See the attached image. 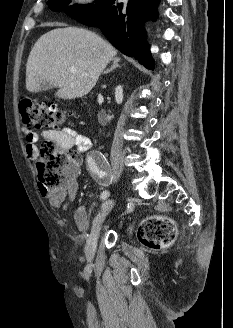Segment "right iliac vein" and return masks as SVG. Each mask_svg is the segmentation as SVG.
I'll use <instances>...</instances> for the list:
<instances>
[{
    "label": "right iliac vein",
    "instance_id": "63e3f726",
    "mask_svg": "<svg viewBox=\"0 0 233 328\" xmlns=\"http://www.w3.org/2000/svg\"><path fill=\"white\" fill-rule=\"evenodd\" d=\"M114 200H107L103 203L101 210L99 211L98 215L96 216L95 220L93 221V225L91 228L90 236L87 240L85 245V255L88 261H91L94 258L96 247H97V240L99 237V232L104 221V218L108 211L114 206Z\"/></svg>",
    "mask_w": 233,
    "mask_h": 328
}]
</instances>
